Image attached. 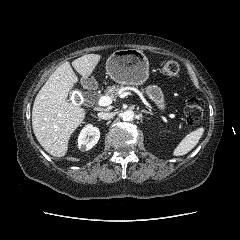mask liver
<instances>
[{
  "mask_svg": "<svg viewBox=\"0 0 240 240\" xmlns=\"http://www.w3.org/2000/svg\"><path fill=\"white\" fill-rule=\"evenodd\" d=\"M101 56L86 54L72 62L84 78L91 76ZM78 82L69 62L60 65L38 92L32 110L33 132L40 145L54 157H64L72 133L83 122L84 108L67 102L69 91Z\"/></svg>",
  "mask_w": 240,
  "mask_h": 240,
  "instance_id": "1",
  "label": "liver"
}]
</instances>
